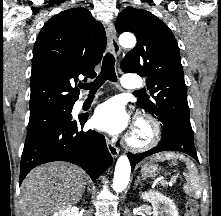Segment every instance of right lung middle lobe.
<instances>
[{
  "label": "right lung middle lobe",
  "mask_w": 221,
  "mask_h": 216,
  "mask_svg": "<svg viewBox=\"0 0 221 216\" xmlns=\"http://www.w3.org/2000/svg\"><path fill=\"white\" fill-rule=\"evenodd\" d=\"M72 105L57 107L30 115L26 141L30 142L61 122L72 119Z\"/></svg>",
  "instance_id": "right-lung-middle-lobe-1"
}]
</instances>
